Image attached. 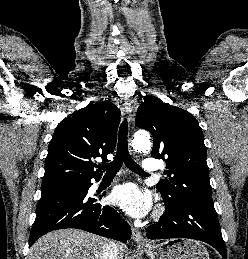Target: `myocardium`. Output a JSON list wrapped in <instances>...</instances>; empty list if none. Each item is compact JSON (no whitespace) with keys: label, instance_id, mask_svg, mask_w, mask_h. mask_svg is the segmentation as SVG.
Instances as JSON below:
<instances>
[{"label":"myocardium","instance_id":"f54148a6","mask_svg":"<svg viewBox=\"0 0 248 259\" xmlns=\"http://www.w3.org/2000/svg\"><path fill=\"white\" fill-rule=\"evenodd\" d=\"M162 212H163L162 206H158V207L155 209L153 215H154V217H159V216L162 214Z\"/></svg>","mask_w":248,"mask_h":259}]
</instances>
